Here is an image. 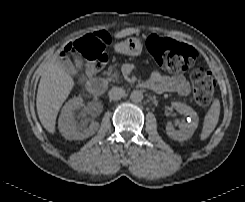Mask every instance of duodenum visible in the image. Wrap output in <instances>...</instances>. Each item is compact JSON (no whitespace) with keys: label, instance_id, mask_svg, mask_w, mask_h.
<instances>
[{"label":"duodenum","instance_id":"410a0bca","mask_svg":"<svg viewBox=\"0 0 245 202\" xmlns=\"http://www.w3.org/2000/svg\"><path fill=\"white\" fill-rule=\"evenodd\" d=\"M142 87L157 93L155 87H153L148 81L143 82ZM106 83L101 77H94L88 80L86 88L90 95L96 97L102 94L105 90Z\"/></svg>","mask_w":245,"mask_h":202}]
</instances>
